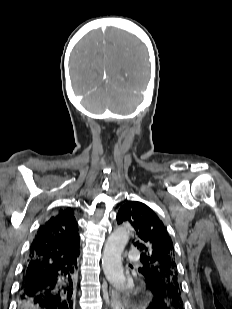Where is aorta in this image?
<instances>
[{
  "instance_id": "762f6f07",
  "label": "aorta",
  "mask_w": 232,
  "mask_h": 309,
  "mask_svg": "<svg viewBox=\"0 0 232 309\" xmlns=\"http://www.w3.org/2000/svg\"><path fill=\"white\" fill-rule=\"evenodd\" d=\"M129 241L127 227L116 228L108 237L102 257V268L107 280L116 288L125 287L126 278L122 266V253Z\"/></svg>"
}]
</instances>
